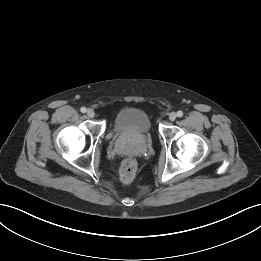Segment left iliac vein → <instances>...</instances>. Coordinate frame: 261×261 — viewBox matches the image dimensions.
<instances>
[{"instance_id": "left-iliac-vein-1", "label": "left iliac vein", "mask_w": 261, "mask_h": 261, "mask_svg": "<svg viewBox=\"0 0 261 261\" xmlns=\"http://www.w3.org/2000/svg\"><path fill=\"white\" fill-rule=\"evenodd\" d=\"M176 117H177V115H176L175 112H171V113L169 114V120H170V121H174V120L176 119Z\"/></svg>"}]
</instances>
